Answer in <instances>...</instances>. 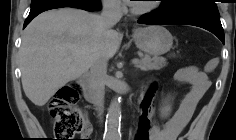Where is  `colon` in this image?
<instances>
[{
    "mask_svg": "<svg viewBox=\"0 0 236 140\" xmlns=\"http://www.w3.org/2000/svg\"><path fill=\"white\" fill-rule=\"evenodd\" d=\"M155 85H150L141 95L134 140H150L151 116L154 108ZM80 92L75 84L61 87L49 104L56 140H73L85 126V117L77 106ZM179 140H184L180 137Z\"/></svg>",
    "mask_w": 236,
    "mask_h": 140,
    "instance_id": "5ec220e1",
    "label": "colon"
}]
</instances>
